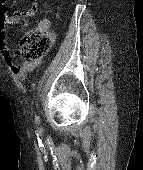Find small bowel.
Here are the masks:
<instances>
[{"label": "small bowel", "mask_w": 143, "mask_h": 170, "mask_svg": "<svg viewBox=\"0 0 143 170\" xmlns=\"http://www.w3.org/2000/svg\"><path fill=\"white\" fill-rule=\"evenodd\" d=\"M38 10V5L36 3L32 4L25 11L14 12L7 20L0 21V45H1V54L5 61L7 62L10 71L17 77H24L27 73L35 70L39 64L40 60H35L31 62H24L22 64L17 63L14 60L13 54L9 51L6 46L7 42V28L10 25H15L21 23L23 27L28 25V20L36 16ZM49 26L48 21H43L41 23L42 28H47Z\"/></svg>", "instance_id": "1"}]
</instances>
